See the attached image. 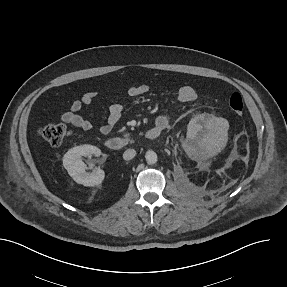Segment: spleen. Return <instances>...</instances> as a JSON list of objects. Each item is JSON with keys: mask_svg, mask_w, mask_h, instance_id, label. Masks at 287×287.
Instances as JSON below:
<instances>
[{"mask_svg": "<svg viewBox=\"0 0 287 287\" xmlns=\"http://www.w3.org/2000/svg\"><path fill=\"white\" fill-rule=\"evenodd\" d=\"M223 139H224V138H223ZM222 142H223V140H222ZM222 142H220V143H217V142H213V143H212V146H214V147H215V146H217V145H220V144H222Z\"/></svg>", "mask_w": 287, "mask_h": 287, "instance_id": "3e777b00", "label": "spleen"}]
</instances>
